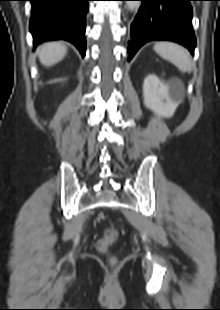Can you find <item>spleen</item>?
<instances>
[{"label":"spleen","mask_w":220,"mask_h":310,"mask_svg":"<svg viewBox=\"0 0 220 310\" xmlns=\"http://www.w3.org/2000/svg\"><path fill=\"white\" fill-rule=\"evenodd\" d=\"M154 50L163 59L173 63L180 71H191L188 51L182 46L171 42H159L154 45Z\"/></svg>","instance_id":"3e777b00"}]
</instances>
